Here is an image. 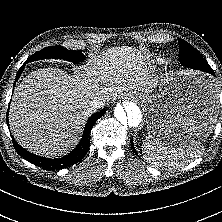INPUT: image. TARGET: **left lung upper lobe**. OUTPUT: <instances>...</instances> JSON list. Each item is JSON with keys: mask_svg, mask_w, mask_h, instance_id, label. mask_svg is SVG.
<instances>
[{"mask_svg": "<svg viewBox=\"0 0 222 222\" xmlns=\"http://www.w3.org/2000/svg\"><path fill=\"white\" fill-rule=\"evenodd\" d=\"M179 46V61L182 65H184L186 61H190L195 65H199V69H201V71L212 70L208 62L189 43H187L183 39H179Z\"/></svg>", "mask_w": 222, "mask_h": 222, "instance_id": "1", "label": "left lung upper lobe"}]
</instances>
